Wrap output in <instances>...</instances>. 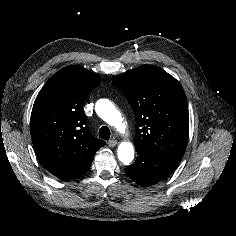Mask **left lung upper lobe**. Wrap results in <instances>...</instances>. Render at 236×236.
Instances as JSON below:
<instances>
[{"instance_id": "5c2ea615", "label": "left lung upper lobe", "mask_w": 236, "mask_h": 236, "mask_svg": "<svg viewBox=\"0 0 236 236\" xmlns=\"http://www.w3.org/2000/svg\"><path fill=\"white\" fill-rule=\"evenodd\" d=\"M136 117V148L181 160L189 133V114L181 84L163 69L143 65L116 78Z\"/></svg>"}]
</instances>
